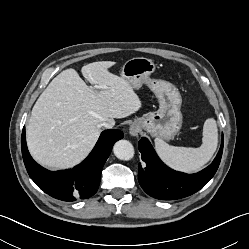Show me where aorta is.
<instances>
[{"label": "aorta", "instance_id": "762f6f07", "mask_svg": "<svg viewBox=\"0 0 249 249\" xmlns=\"http://www.w3.org/2000/svg\"><path fill=\"white\" fill-rule=\"evenodd\" d=\"M113 152L118 159L128 161L134 156V147L127 140H119L114 144Z\"/></svg>", "mask_w": 249, "mask_h": 249}]
</instances>
